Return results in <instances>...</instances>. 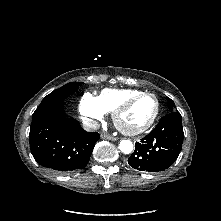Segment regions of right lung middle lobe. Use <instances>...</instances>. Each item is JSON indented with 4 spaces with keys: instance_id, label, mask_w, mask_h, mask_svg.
<instances>
[{
    "instance_id": "obj_1",
    "label": "right lung middle lobe",
    "mask_w": 221,
    "mask_h": 221,
    "mask_svg": "<svg viewBox=\"0 0 221 221\" xmlns=\"http://www.w3.org/2000/svg\"><path fill=\"white\" fill-rule=\"evenodd\" d=\"M83 82H70L61 88L51 92L47 96L44 97L40 105L37 107V109L42 108L43 106L63 101L65 98L69 97L71 94L76 92L80 85H82Z\"/></svg>"
}]
</instances>
